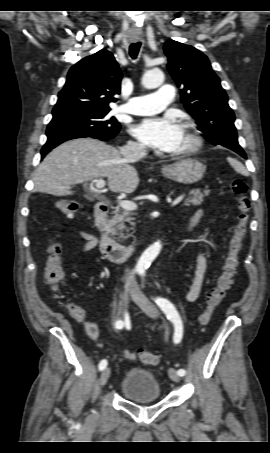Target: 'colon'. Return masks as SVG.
<instances>
[{
  "label": "colon",
  "mask_w": 270,
  "mask_h": 453,
  "mask_svg": "<svg viewBox=\"0 0 270 453\" xmlns=\"http://www.w3.org/2000/svg\"><path fill=\"white\" fill-rule=\"evenodd\" d=\"M231 191L237 197V223L229 241L228 252L221 272L217 278L216 284L207 294L205 308L199 317V322L202 326H206L210 322L214 309L220 305L227 291L233 284L239 266V253L248 231L251 210L248 185L243 179H233L231 182ZM57 209L66 218L73 219L78 215L79 204L73 200H61L57 203ZM44 277L46 283L54 288L58 287L64 280L62 247L56 241L52 242L48 248V258L45 265ZM67 308L74 318L82 315L80 307L76 305H68ZM137 355L145 364L157 365L159 363V357L147 350L140 349L137 351Z\"/></svg>",
  "instance_id": "5ec220e1"
}]
</instances>
